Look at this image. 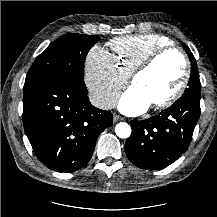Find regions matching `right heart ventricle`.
<instances>
[{"label": "right heart ventricle", "mask_w": 217, "mask_h": 217, "mask_svg": "<svg viewBox=\"0 0 217 217\" xmlns=\"http://www.w3.org/2000/svg\"><path fill=\"white\" fill-rule=\"evenodd\" d=\"M115 66L127 77L154 51L172 45V41L163 35L137 34L117 37L108 43Z\"/></svg>", "instance_id": "1"}]
</instances>
